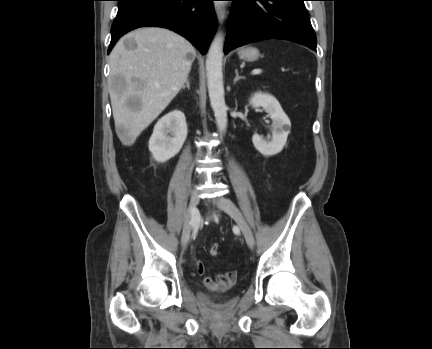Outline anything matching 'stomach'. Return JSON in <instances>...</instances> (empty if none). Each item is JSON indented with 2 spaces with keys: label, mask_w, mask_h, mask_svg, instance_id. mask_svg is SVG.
Segmentation results:
<instances>
[{
  "label": "stomach",
  "mask_w": 432,
  "mask_h": 349,
  "mask_svg": "<svg viewBox=\"0 0 432 349\" xmlns=\"http://www.w3.org/2000/svg\"><path fill=\"white\" fill-rule=\"evenodd\" d=\"M238 55L239 58L244 61L254 62L259 58L260 52L255 47L247 46V47L240 48L238 50Z\"/></svg>",
  "instance_id": "stomach-1"
}]
</instances>
